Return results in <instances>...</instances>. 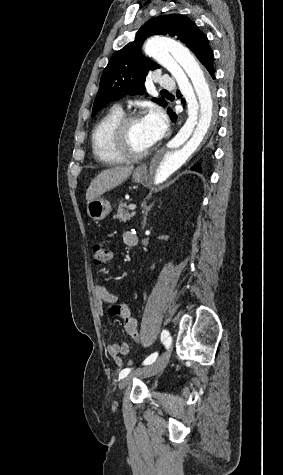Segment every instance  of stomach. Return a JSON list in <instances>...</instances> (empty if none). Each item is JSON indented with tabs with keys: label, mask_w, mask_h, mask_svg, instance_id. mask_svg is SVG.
Here are the masks:
<instances>
[{
	"label": "stomach",
	"mask_w": 283,
	"mask_h": 475,
	"mask_svg": "<svg viewBox=\"0 0 283 475\" xmlns=\"http://www.w3.org/2000/svg\"><path fill=\"white\" fill-rule=\"evenodd\" d=\"M133 182L144 184L148 180V174L144 166L136 168L132 174ZM111 212V204L104 198H95L92 202H87V214L92 220H104Z\"/></svg>",
	"instance_id": "obj_1"
}]
</instances>
